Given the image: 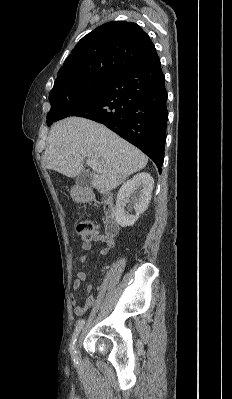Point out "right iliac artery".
Segmentation results:
<instances>
[{
  "label": "right iliac artery",
  "mask_w": 232,
  "mask_h": 399,
  "mask_svg": "<svg viewBox=\"0 0 232 399\" xmlns=\"http://www.w3.org/2000/svg\"><path fill=\"white\" fill-rule=\"evenodd\" d=\"M84 320H80L74 330L73 336H72V344H71V355H72V359L74 361V364H77V358H76V351H75V342H76V337L79 334V332L81 331V329L83 328L84 325Z\"/></svg>",
  "instance_id": "82829eb1"
}]
</instances>
